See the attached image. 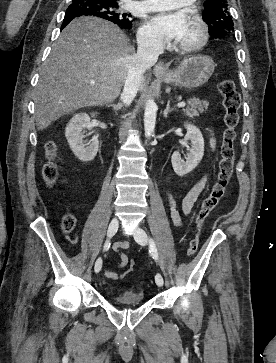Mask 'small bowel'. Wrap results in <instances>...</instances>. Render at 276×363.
I'll return each instance as SVG.
<instances>
[{
	"mask_svg": "<svg viewBox=\"0 0 276 363\" xmlns=\"http://www.w3.org/2000/svg\"><path fill=\"white\" fill-rule=\"evenodd\" d=\"M209 145H210L211 150H214L215 147H216V139L214 137L213 129H210ZM207 185H208V176L204 175L200 179V181L197 182L187 192V194L184 196V198L182 200V203H181V212L184 215L189 216V215L192 214L195 202L200 197L201 193L205 190ZM167 198H168L170 217H171V220H172L173 224L176 227H182L183 226V219H182L181 212L178 209L177 202L175 201V199L173 198V196L170 193H168ZM128 247H129V242L128 241H120V242H117L114 245L113 249L120 257V262H119L120 267H125L129 262L127 255L123 252V250L128 248ZM104 274L109 279H117L118 278V274L116 272H114V271L107 270V271H105Z\"/></svg>",
	"mask_w": 276,
	"mask_h": 363,
	"instance_id": "obj_1",
	"label": "small bowel"
}]
</instances>
